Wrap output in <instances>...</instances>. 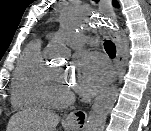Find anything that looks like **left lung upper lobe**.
Returning a JSON list of instances; mask_svg holds the SVG:
<instances>
[{"label": "left lung upper lobe", "mask_w": 151, "mask_h": 131, "mask_svg": "<svg viewBox=\"0 0 151 131\" xmlns=\"http://www.w3.org/2000/svg\"><path fill=\"white\" fill-rule=\"evenodd\" d=\"M113 5H114L115 7H117V2L113 1Z\"/></svg>", "instance_id": "5c2ea615"}]
</instances>
